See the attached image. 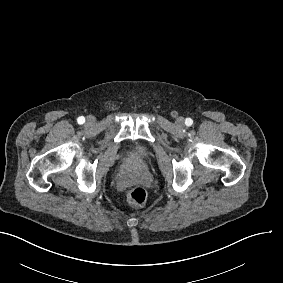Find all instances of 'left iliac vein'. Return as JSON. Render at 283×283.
<instances>
[{"instance_id": "4c4485c4", "label": "left iliac vein", "mask_w": 283, "mask_h": 283, "mask_svg": "<svg viewBox=\"0 0 283 283\" xmlns=\"http://www.w3.org/2000/svg\"><path fill=\"white\" fill-rule=\"evenodd\" d=\"M176 124H177V126L183 125L184 124V119L182 117L178 118Z\"/></svg>"}]
</instances>
